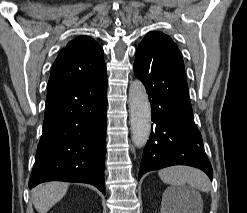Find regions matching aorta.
<instances>
[{
    "label": "aorta",
    "mask_w": 247,
    "mask_h": 213,
    "mask_svg": "<svg viewBox=\"0 0 247 213\" xmlns=\"http://www.w3.org/2000/svg\"><path fill=\"white\" fill-rule=\"evenodd\" d=\"M131 138L137 148L145 146L151 131V107L144 85L135 80L129 87Z\"/></svg>",
    "instance_id": "obj_1"
}]
</instances>
